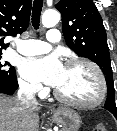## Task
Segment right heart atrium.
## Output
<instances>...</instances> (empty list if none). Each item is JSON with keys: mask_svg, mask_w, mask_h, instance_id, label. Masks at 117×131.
Segmentation results:
<instances>
[{"mask_svg": "<svg viewBox=\"0 0 117 131\" xmlns=\"http://www.w3.org/2000/svg\"><path fill=\"white\" fill-rule=\"evenodd\" d=\"M19 86L23 92H25L28 95H32V96H38L44 92V89L40 84L35 83V82L26 81L23 79L19 81Z\"/></svg>", "mask_w": 117, "mask_h": 131, "instance_id": "d8ad5b80", "label": "right heart atrium"}]
</instances>
